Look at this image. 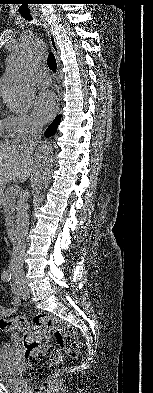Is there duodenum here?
<instances>
[{"label": "duodenum", "instance_id": "obj_1", "mask_svg": "<svg viewBox=\"0 0 153 393\" xmlns=\"http://www.w3.org/2000/svg\"><path fill=\"white\" fill-rule=\"evenodd\" d=\"M7 233H8V237L11 240H15L17 238V228H16V226H10Z\"/></svg>", "mask_w": 153, "mask_h": 393}]
</instances>
